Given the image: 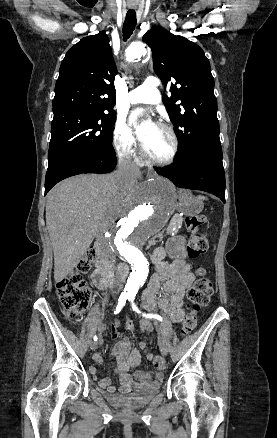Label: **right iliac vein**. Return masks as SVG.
Returning <instances> with one entry per match:
<instances>
[{
    "instance_id": "obj_1",
    "label": "right iliac vein",
    "mask_w": 277,
    "mask_h": 438,
    "mask_svg": "<svg viewBox=\"0 0 277 438\" xmlns=\"http://www.w3.org/2000/svg\"><path fill=\"white\" fill-rule=\"evenodd\" d=\"M97 347H98V342H96V341H93L90 345L91 350H96Z\"/></svg>"
}]
</instances>
